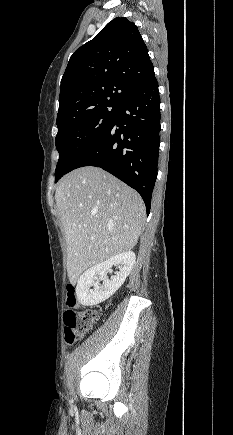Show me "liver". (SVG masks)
Here are the masks:
<instances>
[{
    "mask_svg": "<svg viewBox=\"0 0 233 435\" xmlns=\"http://www.w3.org/2000/svg\"><path fill=\"white\" fill-rule=\"evenodd\" d=\"M74 284L86 269L131 250L145 222L141 196L102 170L86 166L64 177L55 192Z\"/></svg>",
    "mask_w": 233,
    "mask_h": 435,
    "instance_id": "6515ba94",
    "label": "liver"
}]
</instances>
